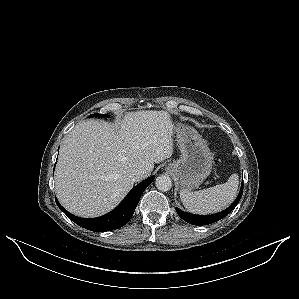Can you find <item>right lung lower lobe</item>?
Wrapping results in <instances>:
<instances>
[{"instance_id":"1","label":"right lung lower lobe","mask_w":299,"mask_h":299,"mask_svg":"<svg viewBox=\"0 0 299 299\" xmlns=\"http://www.w3.org/2000/svg\"><path fill=\"white\" fill-rule=\"evenodd\" d=\"M154 178L155 177L152 176L136 185L114 210L106 215L97 218H80L74 216L66 211L59 204L57 199L55 200L60 210L63 211L68 216V218H70L79 226L94 232H106L118 229L127 224L135 211V207L137 206L142 193L147 188V186L152 183Z\"/></svg>"}]
</instances>
